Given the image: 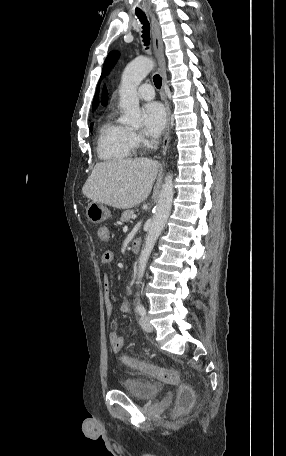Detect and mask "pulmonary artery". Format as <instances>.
Here are the masks:
<instances>
[{"mask_svg":"<svg viewBox=\"0 0 286 456\" xmlns=\"http://www.w3.org/2000/svg\"><path fill=\"white\" fill-rule=\"evenodd\" d=\"M137 95L142 100H151L155 97V92L150 84L145 83L138 88Z\"/></svg>","mask_w":286,"mask_h":456,"instance_id":"pulmonary-artery-1","label":"pulmonary artery"}]
</instances>
